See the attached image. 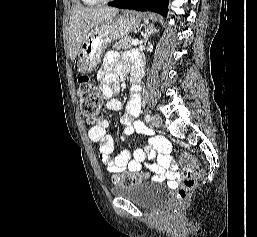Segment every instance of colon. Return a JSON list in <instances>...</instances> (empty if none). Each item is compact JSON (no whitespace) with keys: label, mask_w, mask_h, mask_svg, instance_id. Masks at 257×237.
<instances>
[{"label":"colon","mask_w":257,"mask_h":237,"mask_svg":"<svg viewBox=\"0 0 257 237\" xmlns=\"http://www.w3.org/2000/svg\"><path fill=\"white\" fill-rule=\"evenodd\" d=\"M78 94L83 116L90 121H95L102 105V94L89 76L83 74L79 76ZM180 164L183 167V179L177 190L176 201L171 212V217L175 220L180 218L182 208L194 190L197 180L204 174L203 168L197 165L188 153L180 156ZM142 178L140 174L123 172L115 176L114 183L121 186L130 185L141 181Z\"/></svg>","instance_id":"colon-1"}]
</instances>
